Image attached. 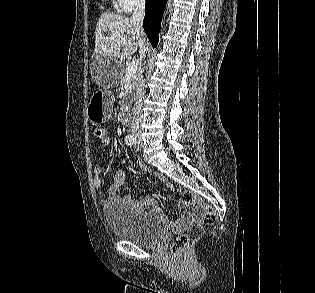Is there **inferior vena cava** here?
Masks as SVG:
<instances>
[{"mask_svg":"<svg viewBox=\"0 0 315 293\" xmlns=\"http://www.w3.org/2000/svg\"><path fill=\"white\" fill-rule=\"evenodd\" d=\"M145 15V0H138L137 6L133 11L131 22L139 35V52H140V66L145 57L144 33H143V19ZM145 94V81L139 73L134 81V105L132 108V123L131 133L134 136L140 134V124L142 120V103Z\"/></svg>","mask_w":315,"mask_h":293,"instance_id":"obj_1","label":"inferior vena cava"}]
</instances>
